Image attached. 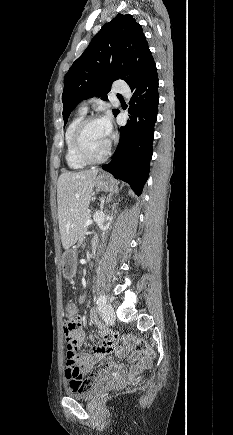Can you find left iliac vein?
<instances>
[{
    "mask_svg": "<svg viewBox=\"0 0 233 435\" xmlns=\"http://www.w3.org/2000/svg\"><path fill=\"white\" fill-rule=\"evenodd\" d=\"M101 315L102 319L107 323H111L115 320V313L111 304H105L103 306Z\"/></svg>",
    "mask_w": 233,
    "mask_h": 435,
    "instance_id": "obj_1",
    "label": "left iliac vein"
}]
</instances>
